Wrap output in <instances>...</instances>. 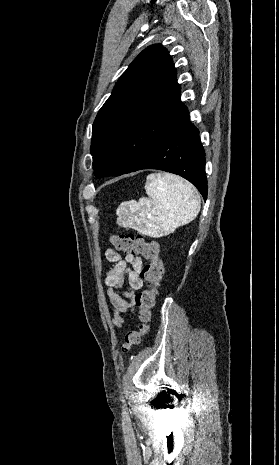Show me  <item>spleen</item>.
I'll list each match as a JSON object with an SVG mask.
<instances>
[{"instance_id":"1","label":"spleen","mask_w":279,"mask_h":465,"mask_svg":"<svg viewBox=\"0 0 279 465\" xmlns=\"http://www.w3.org/2000/svg\"><path fill=\"white\" fill-rule=\"evenodd\" d=\"M148 198L123 202L117 209V223L146 235L169 234L193 221L201 207L195 188L176 175L153 173L147 176Z\"/></svg>"}]
</instances>
